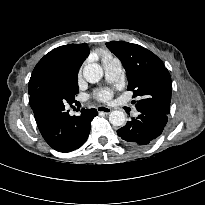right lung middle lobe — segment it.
Listing matches in <instances>:
<instances>
[{
	"mask_svg": "<svg viewBox=\"0 0 205 205\" xmlns=\"http://www.w3.org/2000/svg\"><path fill=\"white\" fill-rule=\"evenodd\" d=\"M77 74L71 75L67 78L66 83L69 87L75 92L78 93V82H77Z\"/></svg>",
	"mask_w": 205,
	"mask_h": 205,
	"instance_id": "right-lung-middle-lobe-1",
	"label": "right lung middle lobe"
}]
</instances>
